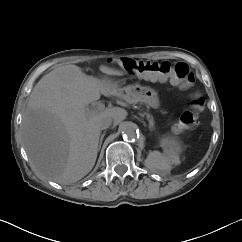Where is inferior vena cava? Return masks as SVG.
Instances as JSON below:
<instances>
[{"label": "inferior vena cava", "mask_w": 242, "mask_h": 242, "mask_svg": "<svg viewBox=\"0 0 242 242\" xmlns=\"http://www.w3.org/2000/svg\"><path fill=\"white\" fill-rule=\"evenodd\" d=\"M111 124H112V119L109 116L102 117L99 122L100 129L102 130L109 128Z\"/></svg>", "instance_id": "602c4592"}]
</instances>
